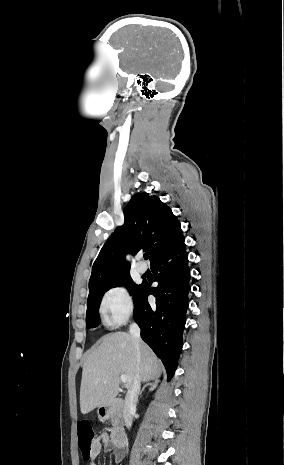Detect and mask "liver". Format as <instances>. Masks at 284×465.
I'll list each match as a JSON object with an SVG mask.
<instances>
[{
  "label": "liver",
  "mask_w": 284,
  "mask_h": 465,
  "mask_svg": "<svg viewBox=\"0 0 284 465\" xmlns=\"http://www.w3.org/2000/svg\"><path fill=\"white\" fill-rule=\"evenodd\" d=\"M137 347L140 361H137ZM162 365L152 349L128 333H113L102 337L101 343L83 365L80 387L82 415L96 407H107L119 393L120 375H127V389L139 373L140 381L158 379Z\"/></svg>",
  "instance_id": "6515ba94"
}]
</instances>
